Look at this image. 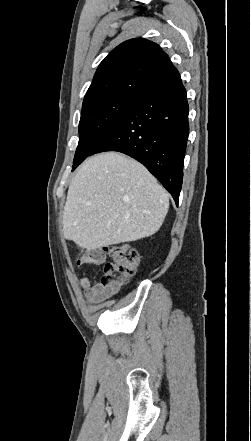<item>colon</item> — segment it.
<instances>
[{
    "label": "colon",
    "instance_id": "obj_1",
    "mask_svg": "<svg viewBox=\"0 0 251 441\" xmlns=\"http://www.w3.org/2000/svg\"><path fill=\"white\" fill-rule=\"evenodd\" d=\"M112 260L104 266L101 283L105 286L120 287L127 283L136 273L139 264V253L126 243L105 247Z\"/></svg>",
    "mask_w": 251,
    "mask_h": 441
}]
</instances>
